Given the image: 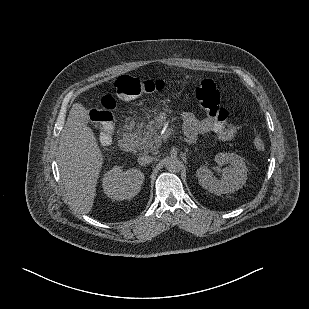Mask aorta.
I'll return each instance as SVG.
<instances>
[{
    "mask_svg": "<svg viewBox=\"0 0 309 309\" xmlns=\"http://www.w3.org/2000/svg\"><path fill=\"white\" fill-rule=\"evenodd\" d=\"M165 167L169 172L177 173L182 169V162L175 157H167Z\"/></svg>",
    "mask_w": 309,
    "mask_h": 309,
    "instance_id": "aorta-1",
    "label": "aorta"
}]
</instances>
